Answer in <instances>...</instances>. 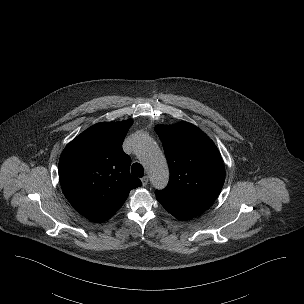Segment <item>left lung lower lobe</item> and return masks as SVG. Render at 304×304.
<instances>
[{
    "label": "left lung lower lobe",
    "instance_id": "1",
    "mask_svg": "<svg viewBox=\"0 0 304 304\" xmlns=\"http://www.w3.org/2000/svg\"><path fill=\"white\" fill-rule=\"evenodd\" d=\"M160 203L170 214H172L174 217H176L178 219H189V218L193 217L185 212L180 211L179 209H177L175 207L169 206L162 202H160Z\"/></svg>",
    "mask_w": 304,
    "mask_h": 304
}]
</instances>
